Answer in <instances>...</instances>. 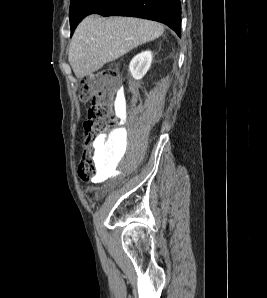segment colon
<instances>
[{
	"label": "colon",
	"mask_w": 267,
	"mask_h": 298,
	"mask_svg": "<svg viewBox=\"0 0 267 298\" xmlns=\"http://www.w3.org/2000/svg\"><path fill=\"white\" fill-rule=\"evenodd\" d=\"M117 88L118 73L111 68L86 76L81 81L77 97L82 102L91 101L83 122L84 150L78 167V175L84 181L98 176L94 150L100 145L102 133L117 124L113 114V98Z\"/></svg>",
	"instance_id": "5ec220e1"
}]
</instances>
